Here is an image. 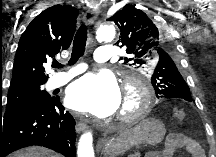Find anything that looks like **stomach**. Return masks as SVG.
Wrapping results in <instances>:
<instances>
[{
    "mask_svg": "<svg viewBox=\"0 0 216 157\" xmlns=\"http://www.w3.org/2000/svg\"><path fill=\"white\" fill-rule=\"evenodd\" d=\"M164 124L156 119H145L135 127L125 130L110 140L104 150L105 154L121 152L131 145L160 143L165 135Z\"/></svg>",
    "mask_w": 216,
    "mask_h": 157,
    "instance_id": "obj_1",
    "label": "stomach"
}]
</instances>
